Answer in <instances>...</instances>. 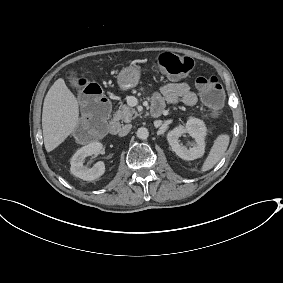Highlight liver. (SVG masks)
<instances>
[{"label": "liver", "instance_id": "6515ba94", "mask_svg": "<svg viewBox=\"0 0 283 283\" xmlns=\"http://www.w3.org/2000/svg\"><path fill=\"white\" fill-rule=\"evenodd\" d=\"M78 102L62 78L49 89L43 104L42 129L47 152L59 146L77 127Z\"/></svg>", "mask_w": 283, "mask_h": 283}]
</instances>
